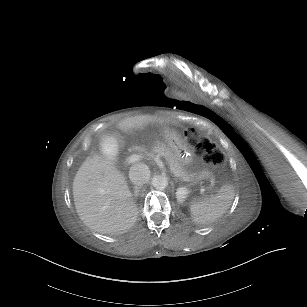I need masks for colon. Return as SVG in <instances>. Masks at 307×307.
Listing matches in <instances>:
<instances>
[{"label":"colon","instance_id":"colon-1","mask_svg":"<svg viewBox=\"0 0 307 307\" xmlns=\"http://www.w3.org/2000/svg\"><path fill=\"white\" fill-rule=\"evenodd\" d=\"M186 138L190 141H193L195 139V133L189 131L186 134ZM199 146L203 150V159L208 166L221 167L225 164V158L222 152L214 147L209 141L204 140Z\"/></svg>","mask_w":307,"mask_h":307}]
</instances>
